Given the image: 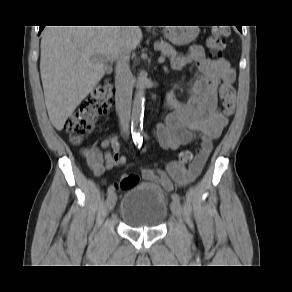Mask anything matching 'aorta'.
<instances>
[{"instance_id": "762f6f07", "label": "aorta", "mask_w": 292, "mask_h": 292, "mask_svg": "<svg viewBox=\"0 0 292 292\" xmlns=\"http://www.w3.org/2000/svg\"><path fill=\"white\" fill-rule=\"evenodd\" d=\"M145 105V77L140 75L132 106V131L138 134L142 128Z\"/></svg>"}]
</instances>
